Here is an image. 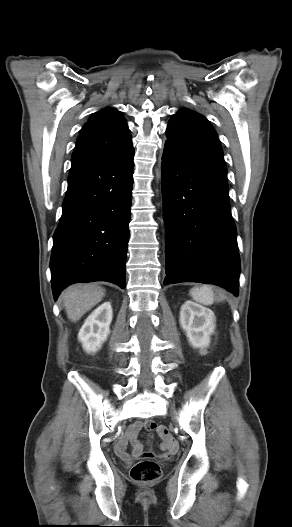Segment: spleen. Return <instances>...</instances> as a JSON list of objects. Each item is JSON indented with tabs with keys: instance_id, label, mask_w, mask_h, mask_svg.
I'll return each mask as SVG.
<instances>
[{
	"instance_id": "3e777b00",
	"label": "spleen",
	"mask_w": 292,
	"mask_h": 527,
	"mask_svg": "<svg viewBox=\"0 0 292 527\" xmlns=\"http://www.w3.org/2000/svg\"><path fill=\"white\" fill-rule=\"evenodd\" d=\"M190 295L193 300L203 305H211L215 300L221 301L224 299L223 294H218V296H216L213 289L207 285L192 288L190 290Z\"/></svg>"
}]
</instances>
